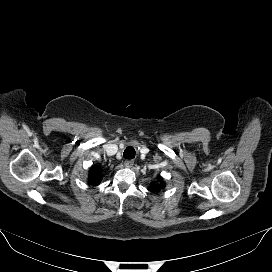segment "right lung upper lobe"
I'll list each match as a JSON object with an SVG mask.
<instances>
[{"mask_svg": "<svg viewBox=\"0 0 272 272\" xmlns=\"http://www.w3.org/2000/svg\"><path fill=\"white\" fill-rule=\"evenodd\" d=\"M89 182L92 184V185H98L102 179V175H101V172L100 170L93 166L91 169H90V172H89Z\"/></svg>", "mask_w": 272, "mask_h": 272, "instance_id": "1", "label": "right lung upper lobe"}]
</instances>
